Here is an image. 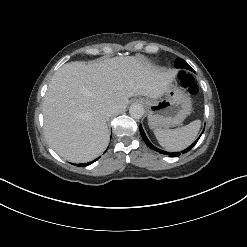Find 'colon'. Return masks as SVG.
<instances>
[{
	"label": "colon",
	"instance_id": "colon-1",
	"mask_svg": "<svg viewBox=\"0 0 247 247\" xmlns=\"http://www.w3.org/2000/svg\"><path fill=\"white\" fill-rule=\"evenodd\" d=\"M179 79L182 86L187 90L189 94L196 95L198 93L199 87L192 75L181 72L179 74Z\"/></svg>",
	"mask_w": 247,
	"mask_h": 247
}]
</instances>
